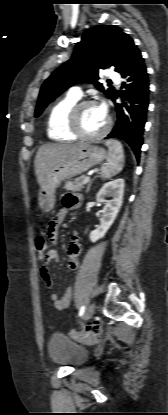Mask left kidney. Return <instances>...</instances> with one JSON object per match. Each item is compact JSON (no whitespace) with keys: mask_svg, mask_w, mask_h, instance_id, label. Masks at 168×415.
<instances>
[{"mask_svg":"<svg viewBox=\"0 0 168 415\" xmlns=\"http://www.w3.org/2000/svg\"><path fill=\"white\" fill-rule=\"evenodd\" d=\"M125 181L121 178L112 180L103 185L96 195V200L99 203H105L100 218V225L90 232L89 238L91 242L103 238L115 221L117 214L123 203ZM106 197H112L111 200L106 201Z\"/></svg>","mask_w":168,"mask_h":415,"instance_id":"5707ae66","label":"left kidney"}]
</instances>
